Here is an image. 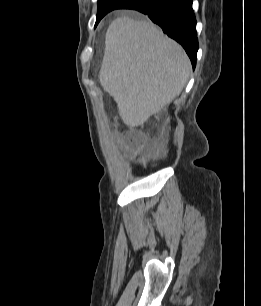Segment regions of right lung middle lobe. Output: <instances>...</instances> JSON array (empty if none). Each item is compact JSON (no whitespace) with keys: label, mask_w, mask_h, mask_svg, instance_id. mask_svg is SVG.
<instances>
[{"label":"right lung middle lobe","mask_w":261,"mask_h":306,"mask_svg":"<svg viewBox=\"0 0 261 306\" xmlns=\"http://www.w3.org/2000/svg\"><path fill=\"white\" fill-rule=\"evenodd\" d=\"M129 0H107L98 3L97 20L105 16L108 12L118 9Z\"/></svg>","instance_id":"dd1d6c3e"}]
</instances>
